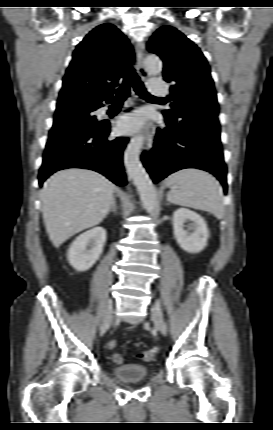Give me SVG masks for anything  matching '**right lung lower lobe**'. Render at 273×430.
<instances>
[{"mask_svg":"<svg viewBox=\"0 0 273 430\" xmlns=\"http://www.w3.org/2000/svg\"><path fill=\"white\" fill-rule=\"evenodd\" d=\"M109 133L110 123L102 122L91 132L48 142L39 171V184L58 170L85 168L103 174L119 186L126 185L122 152L128 139L107 140Z\"/></svg>","mask_w":273,"mask_h":430,"instance_id":"1","label":"right lung lower lobe"}]
</instances>
